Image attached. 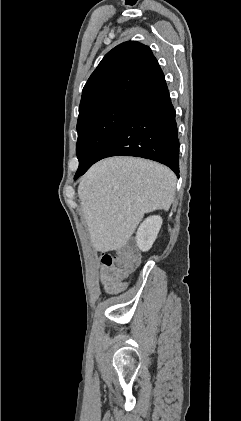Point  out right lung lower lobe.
Segmentation results:
<instances>
[{
    "label": "right lung lower lobe",
    "instance_id": "obj_1",
    "mask_svg": "<svg viewBox=\"0 0 241 421\" xmlns=\"http://www.w3.org/2000/svg\"><path fill=\"white\" fill-rule=\"evenodd\" d=\"M175 116L162 74L131 100L120 126L95 162L110 156L142 157L165 164L178 174L180 144ZM87 170H77L75 179Z\"/></svg>",
    "mask_w": 241,
    "mask_h": 421
}]
</instances>
